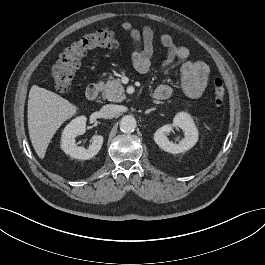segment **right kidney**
<instances>
[{"label":"right kidney","mask_w":265,"mask_h":265,"mask_svg":"<svg viewBox=\"0 0 265 265\" xmlns=\"http://www.w3.org/2000/svg\"><path fill=\"white\" fill-rule=\"evenodd\" d=\"M86 130V117L80 116L73 119L63 130L61 137V149L71 157L80 160L93 158L101 149L103 137L94 136L88 149L75 144V138L84 134Z\"/></svg>","instance_id":"right-kidney-1"}]
</instances>
